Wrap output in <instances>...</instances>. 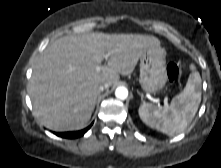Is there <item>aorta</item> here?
I'll use <instances>...</instances> for the list:
<instances>
[{
  "label": "aorta",
  "instance_id": "762f6f07",
  "mask_svg": "<svg viewBox=\"0 0 221 168\" xmlns=\"http://www.w3.org/2000/svg\"><path fill=\"white\" fill-rule=\"evenodd\" d=\"M115 96L120 100H125L128 97V90L125 87H118L115 91Z\"/></svg>",
  "mask_w": 221,
  "mask_h": 168
}]
</instances>
